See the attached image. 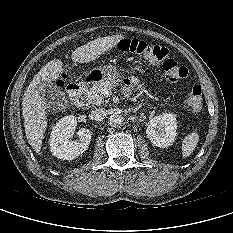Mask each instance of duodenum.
Instances as JSON below:
<instances>
[{"label": "duodenum", "mask_w": 233, "mask_h": 233, "mask_svg": "<svg viewBox=\"0 0 233 233\" xmlns=\"http://www.w3.org/2000/svg\"><path fill=\"white\" fill-rule=\"evenodd\" d=\"M86 83L87 81L84 79L82 81L74 82L68 85L67 94L71 101L76 102L78 100Z\"/></svg>", "instance_id": "duodenum-1"}]
</instances>
